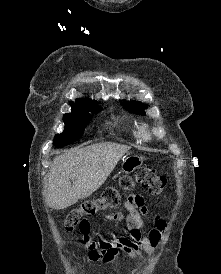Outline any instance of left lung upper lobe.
<instances>
[{
  "label": "left lung upper lobe",
  "instance_id": "1",
  "mask_svg": "<svg viewBox=\"0 0 221 274\" xmlns=\"http://www.w3.org/2000/svg\"><path fill=\"white\" fill-rule=\"evenodd\" d=\"M122 105L129 112L145 114L144 109L146 108V106L144 104H141L140 102H123Z\"/></svg>",
  "mask_w": 221,
  "mask_h": 274
}]
</instances>
